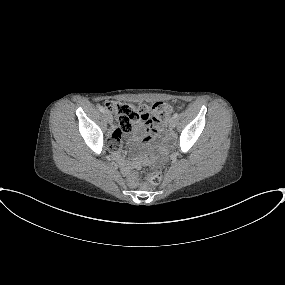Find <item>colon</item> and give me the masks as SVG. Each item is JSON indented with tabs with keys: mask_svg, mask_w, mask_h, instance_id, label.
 Instances as JSON below:
<instances>
[{
	"mask_svg": "<svg viewBox=\"0 0 285 285\" xmlns=\"http://www.w3.org/2000/svg\"><path fill=\"white\" fill-rule=\"evenodd\" d=\"M108 109L115 115L117 127L123 133H129L134 125L148 120L162 121L170 113L171 107L163 102L149 105L136 106L130 103L110 102L107 103ZM149 183L156 185L162 180L159 171L151 172L147 175Z\"/></svg>",
	"mask_w": 285,
	"mask_h": 285,
	"instance_id": "5ec220e1",
	"label": "colon"
}]
</instances>
